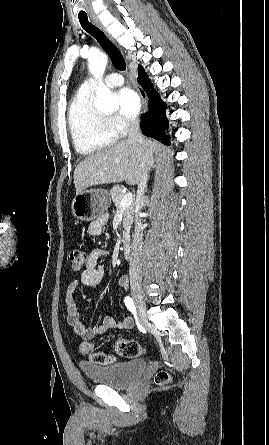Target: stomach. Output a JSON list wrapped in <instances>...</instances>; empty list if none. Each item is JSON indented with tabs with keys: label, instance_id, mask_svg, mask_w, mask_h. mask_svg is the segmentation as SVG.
Here are the masks:
<instances>
[{
	"label": "stomach",
	"instance_id": "0dacf381",
	"mask_svg": "<svg viewBox=\"0 0 269 445\" xmlns=\"http://www.w3.org/2000/svg\"><path fill=\"white\" fill-rule=\"evenodd\" d=\"M110 204L111 198L107 190L81 192L72 201V213L78 220L90 222L104 214Z\"/></svg>",
	"mask_w": 269,
	"mask_h": 445
}]
</instances>
